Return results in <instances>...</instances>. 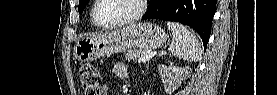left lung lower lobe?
<instances>
[{
	"mask_svg": "<svg viewBox=\"0 0 277 95\" xmlns=\"http://www.w3.org/2000/svg\"><path fill=\"white\" fill-rule=\"evenodd\" d=\"M217 0H152L143 19H165L193 28L206 49Z\"/></svg>",
	"mask_w": 277,
	"mask_h": 95,
	"instance_id": "obj_1",
	"label": "left lung lower lobe"
}]
</instances>
